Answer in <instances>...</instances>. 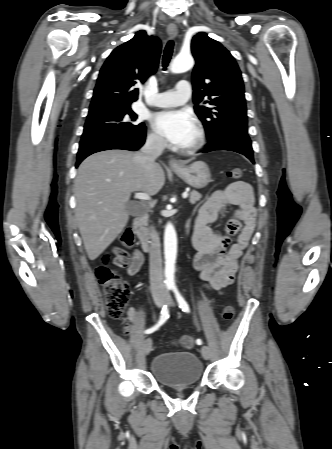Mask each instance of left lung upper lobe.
Here are the masks:
<instances>
[{
  "instance_id": "1",
  "label": "left lung upper lobe",
  "mask_w": 332,
  "mask_h": 449,
  "mask_svg": "<svg viewBox=\"0 0 332 449\" xmlns=\"http://www.w3.org/2000/svg\"><path fill=\"white\" fill-rule=\"evenodd\" d=\"M191 50L196 60L192 73L194 109L209 141L230 131L247 132L244 84L234 57L204 32L193 37ZM204 98L210 107L198 106Z\"/></svg>"
}]
</instances>
